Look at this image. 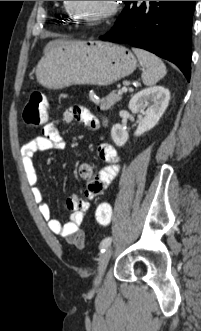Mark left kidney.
Listing matches in <instances>:
<instances>
[{"mask_svg": "<svg viewBox=\"0 0 201 331\" xmlns=\"http://www.w3.org/2000/svg\"><path fill=\"white\" fill-rule=\"evenodd\" d=\"M170 100V92L163 86H154L135 94L130 102L129 109L138 114V127L135 136H141L151 130L160 120ZM147 109L145 110V108ZM111 137L117 146H123L129 134L121 124H115L111 130Z\"/></svg>", "mask_w": 201, "mask_h": 331, "instance_id": "5707ae66", "label": "left kidney"}]
</instances>
